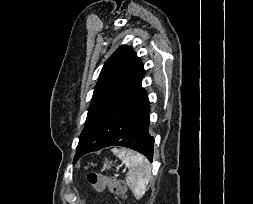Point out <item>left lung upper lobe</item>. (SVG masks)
<instances>
[{"instance_id": "obj_1", "label": "left lung upper lobe", "mask_w": 253, "mask_h": 204, "mask_svg": "<svg viewBox=\"0 0 253 204\" xmlns=\"http://www.w3.org/2000/svg\"><path fill=\"white\" fill-rule=\"evenodd\" d=\"M144 75L142 62L132 47L121 46L111 55L104 64L95 86L85 127L79 137L76 151L82 145L87 126L137 89Z\"/></svg>"}]
</instances>
